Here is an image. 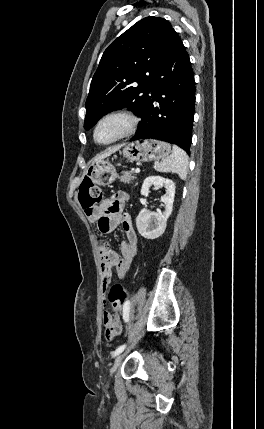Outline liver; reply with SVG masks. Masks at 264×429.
I'll return each instance as SVG.
<instances>
[{"label":"liver","instance_id":"1","mask_svg":"<svg viewBox=\"0 0 264 429\" xmlns=\"http://www.w3.org/2000/svg\"><path fill=\"white\" fill-rule=\"evenodd\" d=\"M123 145H118V146H114L112 148H109L107 150H105L104 152H102L101 154L97 155L94 159L93 162L95 161H99V160H103L104 158L110 156L111 154H113L114 152H116L118 149H120Z\"/></svg>","mask_w":264,"mask_h":429}]
</instances>
